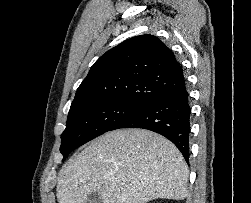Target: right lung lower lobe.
I'll return each mask as SVG.
<instances>
[{"label":"right lung lower lobe","instance_id":"right-lung-lower-lobe-1","mask_svg":"<svg viewBox=\"0 0 251 203\" xmlns=\"http://www.w3.org/2000/svg\"><path fill=\"white\" fill-rule=\"evenodd\" d=\"M191 108L185 81L177 88L143 105L120 121L112 130L142 128L159 133L172 141L189 161Z\"/></svg>","mask_w":251,"mask_h":203}]
</instances>
